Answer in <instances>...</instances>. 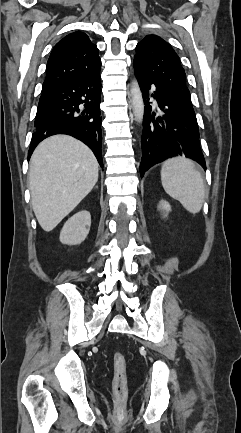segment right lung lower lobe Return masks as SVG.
Instances as JSON below:
<instances>
[{"label":"right lung lower lobe","instance_id":"obj_1","mask_svg":"<svg viewBox=\"0 0 241 433\" xmlns=\"http://www.w3.org/2000/svg\"><path fill=\"white\" fill-rule=\"evenodd\" d=\"M100 99V70L42 91L28 158L43 139L67 134L90 147L103 167Z\"/></svg>","mask_w":241,"mask_h":433}]
</instances>
